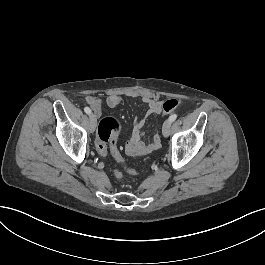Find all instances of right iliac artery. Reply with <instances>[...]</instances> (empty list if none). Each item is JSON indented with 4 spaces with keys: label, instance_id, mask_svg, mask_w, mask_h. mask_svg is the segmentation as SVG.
I'll return each mask as SVG.
<instances>
[{
    "label": "right iliac artery",
    "instance_id": "obj_1",
    "mask_svg": "<svg viewBox=\"0 0 265 265\" xmlns=\"http://www.w3.org/2000/svg\"><path fill=\"white\" fill-rule=\"evenodd\" d=\"M84 111L88 114V115H91V110L89 107H85L84 108Z\"/></svg>",
    "mask_w": 265,
    "mask_h": 265
}]
</instances>
